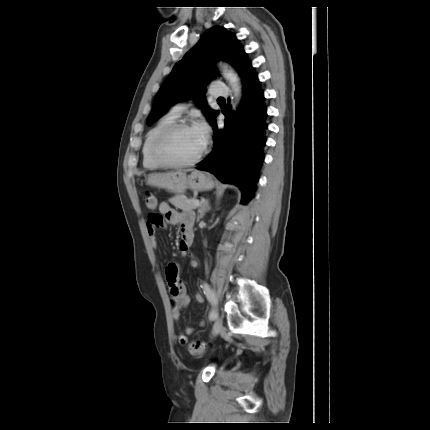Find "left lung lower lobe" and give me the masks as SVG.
<instances>
[{"label":"left lung lower lobe","mask_w":430,"mask_h":430,"mask_svg":"<svg viewBox=\"0 0 430 430\" xmlns=\"http://www.w3.org/2000/svg\"><path fill=\"white\" fill-rule=\"evenodd\" d=\"M241 80L243 98L238 112L230 114V106L226 107L223 130L216 125L218 112L211 119L215 133L214 148L197 169L214 174L222 182L237 185L242 191L241 203L247 204L253 195L263 160L266 108L257 75L247 74Z\"/></svg>","instance_id":"obj_1"}]
</instances>
